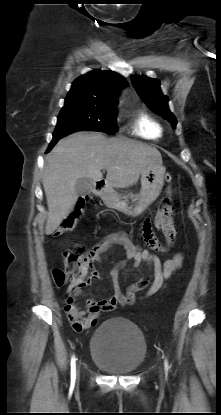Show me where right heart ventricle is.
Returning a JSON list of instances; mask_svg holds the SVG:
<instances>
[{"instance_id": "right-heart-ventricle-1", "label": "right heart ventricle", "mask_w": 221, "mask_h": 415, "mask_svg": "<svg viewBox=\"0 0 221 415\" xmlns=\"http://www.w3.org/2000/svg\"><path fill=\"white\" fill-rule=\"evenodd\" d=\"M130 129L132 134L148 140H157L163 136L161 123L146 111H139L133 117Z\"/></svg>"}]
</instances>
